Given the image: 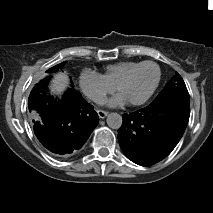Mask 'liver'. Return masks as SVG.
<instances>
[{
	"mask_svg": "<svg viewBox=\"0 0 213 213\" xmlns=\"http://www.w3.org/2000/svg\"><path fill=\"white\" fill-rule=\"evenodd\" d=\"M69 84V77L66 73H57L49 85L50 92L61 95Z\"/></svg>",
	"mask_w": 213,
	"mask_h": 213,
	"instance_id": "1",
	"label": "liver"
}]
</instances>
